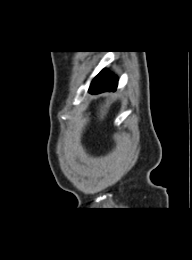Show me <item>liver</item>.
Masks as SVG:
<instances>
[{"mask_svg": "<svg viewBox=\"0 0 192 260\" xmlns=\"http://www.w3.org/2000/svg\"><path fill=\"white\" fill-rule=\"evenodd\" d=\"M109 104H106V105H104V106H102L101 107V109H100V118L101 119H103L104 118V116L107 114V111H108V109H109Z\"/></svg>", "mask_w": 192, "mask_h": 260, "instance_id": "1", "label": "liver"}]
</instances>
